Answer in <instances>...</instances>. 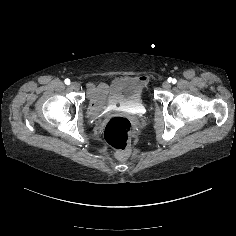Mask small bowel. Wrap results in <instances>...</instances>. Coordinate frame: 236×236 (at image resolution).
<instances>
[{
    "label": "small bowel",
    "instance_id": "1",
    "mask_svg": "<svg viewBox=\"0 0 236 236\" xmlns=\"http://www.w3.org/2000/svg\"><path fill=\"white\" fill-rule=\"evenodd\" d=\"M142 80H146L145 78H141ZM96 88H98V89H101L102 91H103V93H104V89H105V85L104 84H100L98 87H96Z\"/></svg>",
    "mask_w": 236,
    "mask_h": 236
}]
</instances>
